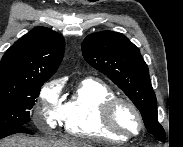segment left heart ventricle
I'll return each instance as SVG.
<instances>
[{
	"instance_id": "1",
	"label": "left heart ventricle",
	"mask_w": 183,
	"mask_h": 147,
	"mask_svg": "<svg viewBox=\"0 0 183 147\" xmlns=\"http://www.w3.org/2000/svg\"><path fill=\"white\" fill-rule=\"evenodd\" d=\"M113 117L115 124L124 132L136 133L139 130V120L134 111L127 105H117Z\"/></svg>"
}]
</instances>
